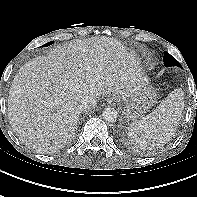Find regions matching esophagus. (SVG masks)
Returning <instances> with one entry per match:
<instances>
[{"instance_id": "obj_1", "label": "esophagus", "mask_w": 197, "mask_h": 197, "mask_svg": "<svg viewBox=\"0 0 197 197\" xmlns=\"http://www.w3.org/2000/svg\"><path fill=\"white\" fill-rule=\"evenodd\" d=\"M107 102L110 103V104H115L116 102V97L114 96H111L107 99Z\"/></svg>"}]
</instances>
